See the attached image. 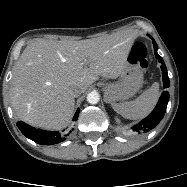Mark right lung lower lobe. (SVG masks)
I'll use <instances>...</instances> for the list:
<instances>
[{"label": "right lung lower lobe", "mask_w": 187, "mask_h": 187, "mask_svg": "<svg viewBox=\"0 0 187 187\" xmlns=\"http://www.w3.org/2000/svg\"><path fill=\"white\" fill-rule=\"evenodd\" d=\"M79 116V109L76 111L73 121H77ZM17 127L20 131L29 139L42 145H52L65 140L64 137L59 132L56 131H45L41 129H36L22 121L17 123Z\"/></svg>", "instance_id": "98d812e1"}]
</instances>
